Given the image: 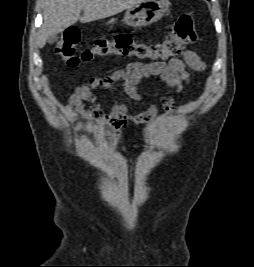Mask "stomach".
<instances>
[{
  "mask_svg": "<svg viewBox=\"0 0 254 267\" xmlns=\"http://www.w3.org/2000/svg\"><path fill=\"white\" fill-rule=\"evenodd\" d=\"M169 7V0H143L127 9L123 22L134 28L149 26L160 20Z\"/></svg>",
  "mask_w": 254,
  "mask_h": 267,
  "instance_id": "1",
  "label": "stomach"
}]
</instances>
